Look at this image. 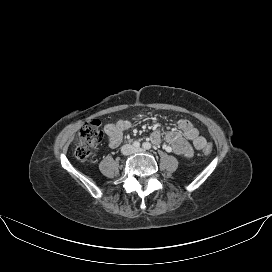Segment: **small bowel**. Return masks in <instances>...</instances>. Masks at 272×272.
<instances>
[{
    "label": "small bowel",
    "mask_w": 272,
    "mask_h": 272,
    "mask_svg": "<svg viewBox=\"0 0 272 272\" xmlns=\"http://www.w3.org/2000/svg\"><path fill=\"white\" fill-rule=\"evenodd\" d=\"M132 122L128 119H120L105 126L108 136V143L111 147H116L122 140L123 133L128 130ZM179 130H173L162 134L159 130H154L151 140L160 143L163 139L167 143V148L185 158L193 156L194 149L201 150L206 144L205 137L200 135L199 130L187 119L178 121Z\"/></svg>",
    "instance_id": "small-bowel-1"
}]
</instances>
